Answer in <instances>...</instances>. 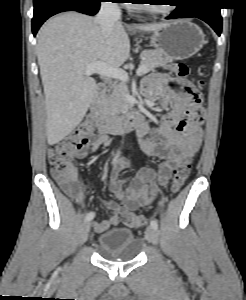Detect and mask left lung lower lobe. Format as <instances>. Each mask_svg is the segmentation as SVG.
Wrapping results in <instances>:
<instances>
[{"label":"left lung lower lobe","instance_id":"0a47b994","mask_svg":"<svg viewBox=\"0 0 246 300\" xmlns=\"http://www.w3.org/2000/svg\"><path fill=\"white\" fill-rule=\"evenodd\" d=\"M217 0H185L167 19L197 17L208 23L220 36L222 17Z\"/></svg>","mask_w":246,"mask_h":300}]
</instances>
